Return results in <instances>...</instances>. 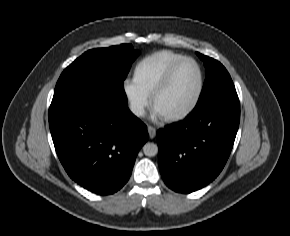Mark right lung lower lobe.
I'll use <instances>...</instances> for the list:
<instances>
[{
	"label": "right lung lower lobe",
	"mask_w": 290,
	"mask_h": 236,
	"mask_svg": "<svg viewBox=\"0 0 290 236\" xmlns=\"http://www.w3.org/2000/svg\"><path fill=\"white\" fill-rule=\"evenodd\" d=\"M49 126L68 175L84 188L107 195L128 181L147 128L125 103H51Z\"/></svg>",
	"instance_id": "1"
}]
</instances>
